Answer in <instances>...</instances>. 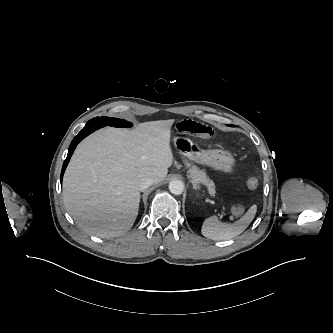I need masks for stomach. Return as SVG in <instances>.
Instances as JSON below:
<instances>
[{"label": "stomach", "mask_w": 333, "mask_h": 333, "mask_svg": "<svg viewBox=\"0 0 333 333\" xmlns=\"http://www.w3.org/2000/svg\"><path fill=\"white\" fill-rule=\"evenodd\" d=\"M174 145L191 160L204 163L225 173H230L233 169L235 160L228 151L220 149L203 150L190 139L183 137H175Z\"/></svg>", "instance_id": "obj_1"}]
</instances>
